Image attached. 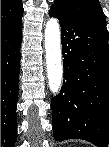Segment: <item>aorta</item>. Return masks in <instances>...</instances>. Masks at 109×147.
I'll return each instance as SVG.
<instances>
[{
	"label": "aorta",
	"instance_id": "762f6f07",
	"mask_svg": "<svg viewBox=\"0 0 109 147\" xmlns=\"http://www.w3.org/2000/svg\"><path fill=\"white\" fill-rule=\"evenodd\" d=\"M61 34L57 19L51 18L45 27V49L50 90L57 94L61 87L63 67L61 57Z\"/></svg>",
	"mask_w": 109,
	"mask_h": 147
}]
</instances>
